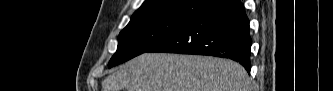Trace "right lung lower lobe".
<instances>
[{"instance_id": "1", "label": "right lung lower lobe", "mask_w": 333, "mask_h": 91, "mask_svg": "<svg viewBox=\"0 0 333 91\" xmlns=\"http://www.w3.org/2000/svg\"><path fill=\"white\" fill-rule=\"evenodd\" d=\"M249 20L239 0H218L147 52L209 55L239 62L250 73Z\"/></svg>"}]
</instances>
